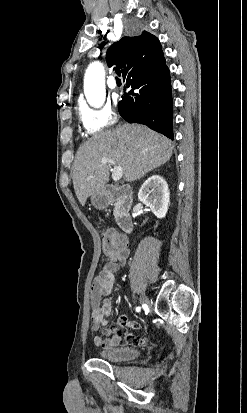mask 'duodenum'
<instances>
[{
    "mask_svg": "<svg viewBox=\"0 0 247 413\" xmlns=\"http://www.w3.org/2000/svg\"><path fill=\"white\" fill-rule=\"evenodd\" d=\"M107 200L115 203L116 221L120 229L126 233L133 230V219L129 211L133 204V192L128 186L108 185L106 187Z\"/></svg>",
    "mask_w": 247,
    "mask_h": 413,
    "instance_id": "duodenum-1",
    "label": "duodenum"
}]
</instances>
